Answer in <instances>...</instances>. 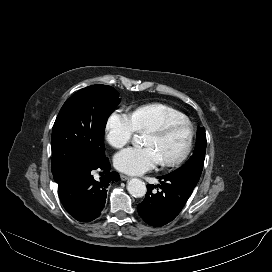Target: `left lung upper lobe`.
<instances>
[{
  "label": "left lung upper lobe",
  "mask_w": 272,
  "mask_h": 272,
  "mask_svg": "<svg viewBox=\"0 0 272 272\" xmlns=\"http://www.w3.org/2000/svg\"><path fill=\"white\" fill-rule=\"evenodd\" d=\"M206 152V134L204 127L197 128L196 147L190 159L180 168L170 174L198 182L202 173Z\"/></svg>",
  "instance_id": "5c2ea615"
}]
</instances>
